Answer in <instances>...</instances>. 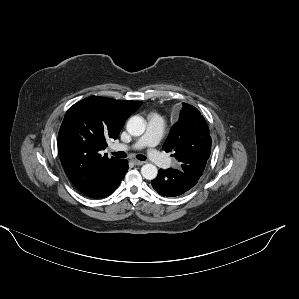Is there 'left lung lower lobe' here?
<instances>
[{"label":"left lung lower lobe","instance_id":"1","mask_svg":"<svg viewBox=\"0 0 299 299\" xmlns=\"http://www.w3.org/2000/svg\"><path fill=\"white\" fill-rule=\"evenodd\" d=\"M198 180L180 169H160L158 176L151 181L153 188L162 196L175 197L190 190Z\"/></svg>","mask_w":299,"mask_h":299}]
</instances>
